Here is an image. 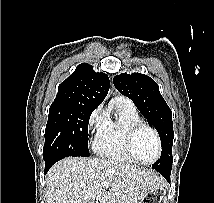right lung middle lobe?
<instances>
[{"mask_svg": "<svg viewBox=\"0 0 214 203\" xmlns=\"http://www.w3.org/2000/svg\"><path fill=\"white\" fill-rule=\"evenodd\" d=\"M96 106L52 103L45 129L43 158L57 162L65 157H89L88 123Z\"/></svg>", "mask_w": 214, "mask_h": 203, "instance_id": "right-lung-middle-lobe-1", "label": "right lung middle lobe"}]
</instances>
